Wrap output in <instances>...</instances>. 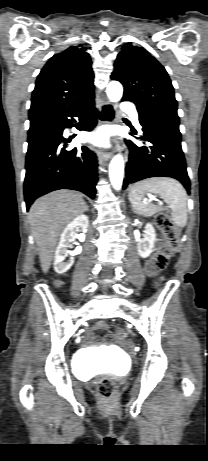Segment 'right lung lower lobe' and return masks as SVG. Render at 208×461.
Returning a JSON list of instances; mask_svg holds the SVG:
<instances>
[{"label":"right lung lower lobe","mask_w":208,"mask_h":461,"mask_svg":"<svg viewBox=\"0 0 208 461\" xmlns=\"http://www.w3.org/2000/svg\"><path fill=\"white\" fill-rule=\"evenodd\" d=\"M68 117H79L78 130L92 131L97 124L94 100L30 127L24 181L27 210L35 199L58 189L78 190L95 198L97 158L86 146L66 150L68 141L63 130L73 126Z\"/></svg>","instance_id":"right-lung-lower-lobe-1"}]
</instances>
